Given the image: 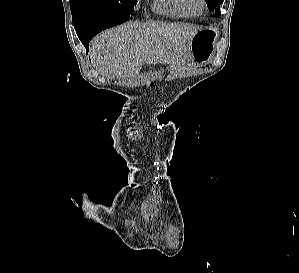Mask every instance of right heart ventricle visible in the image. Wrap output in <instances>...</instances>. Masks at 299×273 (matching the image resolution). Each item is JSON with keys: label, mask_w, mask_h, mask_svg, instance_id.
Instances as JSON below:
<instances>
[{"label": "right heart ventricle", "mask_w": 299, "mask_h": 273, "mask_svg": "<svg viewBox=\"0 0 299 273\" xmlns=\"http://www.w3.org/2000/svg\"><path fill=\"white\" fill-rule=\"evenodd\" d=\"M153 9L157 13L171 18H188L190 14L187 12L183 0H155Z\"/></svg>", "instance_id": "1"}]
</instances>
